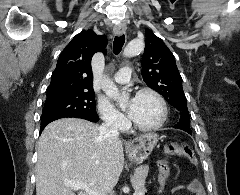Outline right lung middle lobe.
<instances>
[{
	"instance_id": "obj_1",
	"label": "right lung middle lobe",
	"mask_w": 240,
	"mask_h": 195,
	"mask_svg": "<svg viewBox=\"0 0 240 195\" xmlns=\"http://www.w3.org/2000/svg\"><path fill=\"white\" fill-rule=\"evenodd\" d=\"M80 114L97 116L94 91H65L47 95L41 123Z\"/></svg>"
}]
</instances>
